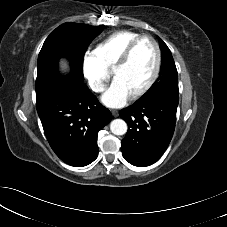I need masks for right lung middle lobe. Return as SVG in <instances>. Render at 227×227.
Instances as JSON below:
<instances>
[{"mask_svg": "<svg viewBox=\"0 0 227 227\" xmlns=\"http://www.w3.org/2000/svg\"><path fill=\"white\" fill-rule=\"evenodd\" d=\"M104 29V25L93 27L80 23H64L45 40L38 56L36 91L53 80L60 79L58 61L66 57L70 61L68 78L83 81V57L90 42Z\"/></svg>", "mask_w": 227, "mask_h": 227, "instance_id": "obj_1", "label": "right lung middle lobe"}]
</instances>
